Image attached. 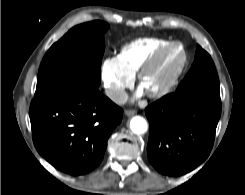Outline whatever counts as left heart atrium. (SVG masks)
I'll return each instance as SVG.
<instances>
[{
    "mask_svg": "<svg viewBox=\"0 0 245 195\" xmlns=\"http://www.w3.org/2000/svg\"><path fill=\"white\" fill-rule=\"evenodd\" d=\"M142 93V89L139 90L138 94L140 95Z\"/></svg>",
    "mask_w": 245,
    "mask_h": 195,
    "instance_id": "obj_1",
    "label": "left heart atrium"
}]
</instances>
